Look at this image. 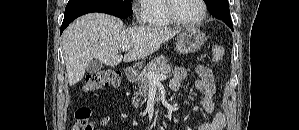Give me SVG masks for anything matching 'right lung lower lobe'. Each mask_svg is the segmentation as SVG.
Wrapping results in <instances>:
<instances>
[{"instance_id": "right-lung-lower-lobe-1", "label": "right lung lower lobe", "mask_w": 299, "mask_h": 130, "mask_svg": "<svg viewBox=\"0 0 299 130\" xmlns=\"http://www.w3.org/2000/svg\"><path fill=\"white\" fill-rule=\"evenodd\" d=\"M91 12H102L107 13L110 15H114L120 18H127L129 15L108 7L98 6V5H91V4H73L67 5L65 9L64 20L62 26L60 28V33L77 17Z\"/></svg>"}]
</instances>
